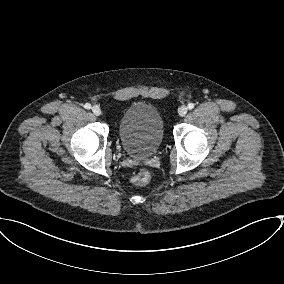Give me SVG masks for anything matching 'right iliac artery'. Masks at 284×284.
<instances>
[{"label": "right iliac artery", "instance_id": "1", "mask_svg": "<svg viewBox=\"0 0 284 284\" xmlns=\"http://www.w3.org/2000/svg\"><path fill=\"white\" fill-rule=\"evenodd\" d=\"M84 107H85V109H90V108H91V104L86 103V104L84 105Z\"/></svg>", "mask_w": 284, "mask_h": 284}]
</instances>
